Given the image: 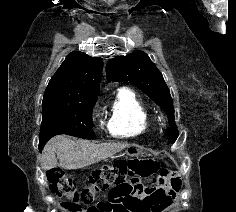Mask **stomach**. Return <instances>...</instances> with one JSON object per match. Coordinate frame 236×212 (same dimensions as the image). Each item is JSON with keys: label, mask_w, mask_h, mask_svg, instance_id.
Here are the masks:
<instances>
[{"label": "stomach", "mask_w": 236, "mask_h": 212, "mask_svg": "<svg viewBox=\"0 0 236 212\" xmlns=\"http://www.w3.org/2000/svg\"><path fill=\"white\" fill-rule=\"evenodd\" d=\"M143 154H144V149L136 145L128 146L124 152V155L130 157H139L142 156Z\"/></svg>", "instance_id": "0dacf381"}]
</instances>
